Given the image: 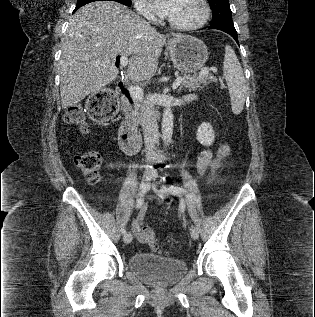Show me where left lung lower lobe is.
Wrapping results in <instances>:
<instances>
[{
  "mask_svg": "<svg viewBox=\"0 0 315 317\" xmlns=\"http://www.w3.org/2000/svg\"><path fill=\"white\" fill-rule=\"evenodd\" d=\"M210 28H215V29H218V30H221V31H224V32L230 34L235 39V41L238 43V37H237V32L235 30V27H214L211 25Z\"/></svg>",
  "mask_w": 315,
  "mask_h": 317,
  "instance_id": "obj_1",
  "label": "left lung lower lobe"
}]
</instances>
